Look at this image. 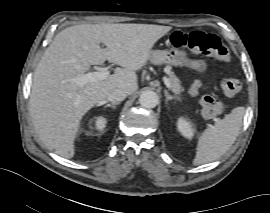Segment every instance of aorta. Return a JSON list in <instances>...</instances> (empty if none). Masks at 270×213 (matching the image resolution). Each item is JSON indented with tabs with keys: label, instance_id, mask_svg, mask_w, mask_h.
Here are the masks:
<instances>
[{
	"label": "aorta",
	"instance_id": "1",
	"mask_svg": "<svg viewBox=\"0 0 270 213\" xmlns=\"http://www.w3.org/2000/svg\"><path fill=\"white\" fill-rule=\"evenodd\" d=\"M139 103L145 108H154L158 104V95L151 90L144 91L139 97Z\"/></svg>",
	"mask_w": 270,
	"mask_h": 213
}]
</instances>
